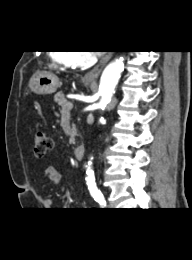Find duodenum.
<instances>
[{
	"label": "duodenum",
	"instance_id": "obj_1",
	"mask_svg": "<svg viewBox=\"0 0 192 260\" xmlns=\"http://www.w3.org/2000/svg\"><path fill=\"white\" fill-rule=\"evenodd\" d=\"M86 147L84 144L78 145L74 150V156L76 159L81 160L85 155Z\"/></svg>",
	"mask_w": 192,
	"mask_h": 260
}]
</instances>
